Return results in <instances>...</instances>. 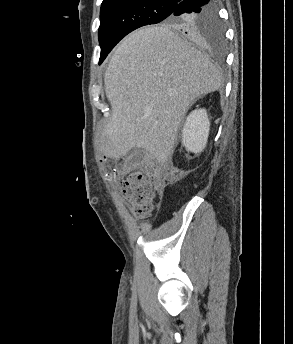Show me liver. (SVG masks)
<instances>
[{
  "instance_id": "6515ba94",
  "label": "liver",
  "mask_w": 293,
  "mask_h": 344,
  "mask_svg": "<svg viewBox=\"0 0 293 344\" xmlns=\"http://www.w3.org/2000/svg\"><path fill=\"white\" fill-rule=\"evenodd\" d=\"M112 107L102 147L121 158L143 148L165 164L194 101L222 85L219 69L169 27L139 29L116 47L104 74Z\"/></svg>"
}]
</instances>
